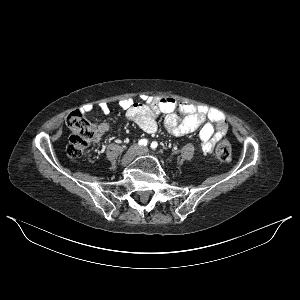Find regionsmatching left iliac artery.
<instances>
[{"label":"left iliac artery","instance_id":"1","mask_svg":"<svg viewBox=\"0 0 300 300\" xmlns=\"http://www.w3.org/2000/svg\"><path fill=\"white\" fill-rule=\"evenodd\" d=\"M157 146H158L157 142L154 141L151 143V149L155 150L157 148Z\"/></svg>","mask_w":300,"mask_h":300}]
</instances>
